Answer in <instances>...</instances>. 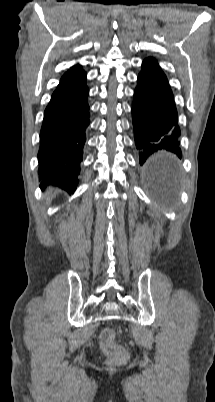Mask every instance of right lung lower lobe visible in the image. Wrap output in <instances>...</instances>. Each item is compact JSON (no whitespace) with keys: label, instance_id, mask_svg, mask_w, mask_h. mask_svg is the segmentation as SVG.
Returning a JSON list of instances; mask_svg holds the SVG:
<instances>
[{"label":"right lung lower lobe","instance_id":"right-lung-lower-lobe-1","mask_svg":"<svg viewBox=\"0 0 215 402\" xmlns=\"http://www.w3.org/2000/svg\"><path fill=\"white\" fill-rule=\"evenodd\" d=\"M86 76L74 86L52 94L40 131L39 179L73 192L78 184L85 131L89 126Z\"/></svg>","mask_w":215,"mask_h":402}]
</instances>
